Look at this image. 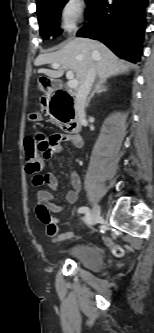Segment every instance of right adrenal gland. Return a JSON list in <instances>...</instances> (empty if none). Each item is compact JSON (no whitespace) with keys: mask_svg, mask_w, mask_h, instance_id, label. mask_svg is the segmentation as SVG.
Returning <instances> with one entry per match:
<instances>
[{"mask_svg":"<svg viewBox=\"0 0 154 333\" xmlns=\"http://www.w3.org/2000/svg\"><path fill=\"white\" fill-rule=\"evenodd\" d=\"M106 79H99L97 83L95 84L94 90L90 94V96L87 99L86 106H88L90 100L94 96L95 93H102L108 90V88L105 86Z\"/></svg>","mask_w":154,"mask_h":333,"instance_id":"2a0ac1e0","label":"right adrenal gland"}]
</instances>
